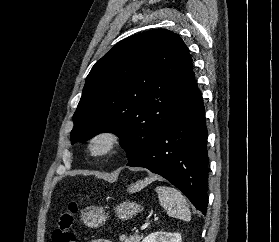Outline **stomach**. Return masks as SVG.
<instances>
[{
	"instance_id": "obj_1",
	"label": "stomach",
	"mask_w": 279,
	"mask_h": 242,
	"mask_svg": "<svg viewBox=\"0 0 279 242\" xmlns=\"http://www.w3.org/2000/svg\"><path fill=\"white\" fill-rule=\"evenodd\" d=\"M119 219L127 220L141 211V206L132 201H124L114 208ZM81 221L90 228L102 226L108 219V213L102 207L91 206L81 212Z\"/></svg>"
}]
</instances>
